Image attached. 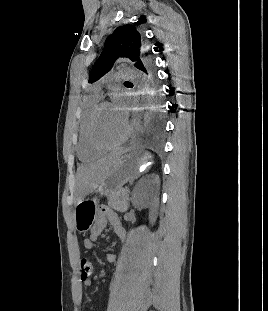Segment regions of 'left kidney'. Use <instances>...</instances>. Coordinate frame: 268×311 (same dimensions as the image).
I'll return each instance as SVG.
<instances>
[{
	"mask_svg": "<svg viewBox=\"0 0 268 311\" xmlns=\"http://www.w3.org/2000/svg\"><path fill=\"white\" fill-rule=\"evenodd\" d=\"M160 179L156 174L142 178L133 190L132 204L136 208H149V222L154 224L159 206Z\"/></svg>",
	"mask_w": 268,
	"mask_h": 311,
	"instance_id": "obj_1",
	"label": "left kidney"
}]
</instances>
